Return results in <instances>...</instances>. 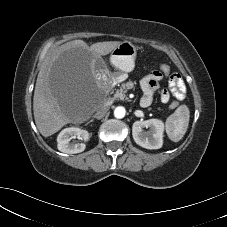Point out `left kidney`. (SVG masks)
I'll use <instances>...</instances> for the list:
<instances>
[{"label": "left kidney", "mask_w": 227, "mask_h": 227, "mask_svg": "<svg viewBox=\"0 0 227 227\" xmlns=\"http://www.w3.org/2000/svg\"><path fill=\"white\" fill-rule=\"evenodd\" d=\"M149 128V131H144ZM164 123L159 119L135 121L132 126L133 139L146 149H159L163 145Z\"/></svg>", "instance_id": "5707ae66"}]
</instances>
